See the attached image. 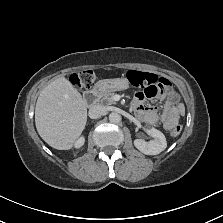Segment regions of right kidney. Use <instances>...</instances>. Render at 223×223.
Masks as SVG:
<instances>
[{
	"label": "right kidney",
	"mask_w": 223,
	"mask_h": 223,
	"mask_svg": "<svg viewBox=\"0 0 223 223\" xmlns=\"http://www.w3.org/2000/svg\"><path fill=\"white\" fill-rule=\"evenodd\" d=\"M84 142H85V138L82 136V137L78 138L77 141L74 143V147L80 148L84 145Z\"/></svg>",
	"instance_id": "1"
}]
</instances>
